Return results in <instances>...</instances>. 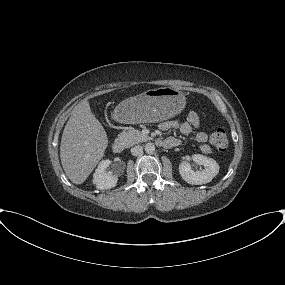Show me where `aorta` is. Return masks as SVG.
<instances>
[{"mask_svg": "<svg viewBox=\"0 0 285 285\" xmlns=\"http://www.w3.org/2000/svg\"><path fill=\"white\" fill-rule=\"evenodd\" d=\"M145 151L148 154H152L155 151V145L153 143H146L145 144Z\"/></svg>", "mask_w": 285, "mask_h": 285, "instance_id": "obj_1", "label": "aorta"}]
</instances>
